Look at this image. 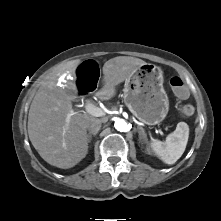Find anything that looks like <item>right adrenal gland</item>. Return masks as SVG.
Segmentation results:
<instances>
[{
    "label": "right adrenal gland",
    "instance_id": "1",
    "mask_svg": "<svg viewBox=\"0 0 221 221\" xmlns=\"http://www.w3.org/2000/svg\"><path fill=\"white\" fill-rule=\"evenodd\" d=\"M96 134L97 133H89V134H87L88 142H90L91 139H92V136H96Z\"/></svg>",
    "mask_w": 221,
    "mask_h": 221
}]
</instances>
